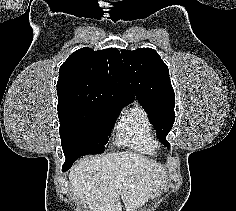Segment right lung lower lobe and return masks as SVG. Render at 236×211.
Wrapping results in <instances>:
<instances>
[{
	"label": "right lung lower lobe",
	"mask_w": 236,
	"mask_h": 211,
	"mask_svg": "<svg viewBox=\"0 0 236 211\" xmlns=\"http://www.w3.org/2000/svg\"><path fill=\"white\" fill-rule=\"evenodd\" d=\"M83 155H85V154L74 155V156L66 158V162L63 165L62 171H66V170L70 169L72 164L75 162V160Z\"/></svg>",
	"instance_id": "1"
}]
</instances>
